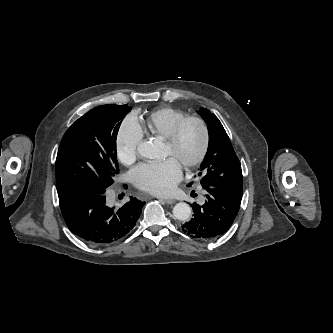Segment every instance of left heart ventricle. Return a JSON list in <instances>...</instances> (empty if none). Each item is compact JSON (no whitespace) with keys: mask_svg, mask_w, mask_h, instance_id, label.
<instances>
[{"mask_svg":"<svg viewBox=\"0 0 333 333\" xmlns=\"http://www.w3.org/2000/svg\"><path fill=\"white\" fill-rule=\"evenodd\" d=\"M201 130L196 124H189L183 130L179 144L175 149L166 145V155L183 164L196 157L201 147Z\"/></svg>","mask_w":333,"mask_h":333,"instance_id":"1","label":"left heart ventricle"}]
</instances>
